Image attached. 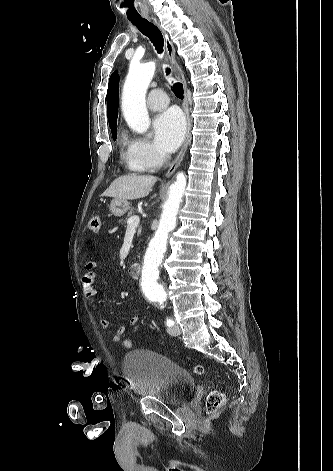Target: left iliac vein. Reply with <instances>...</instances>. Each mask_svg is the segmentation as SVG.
<instances>
[{"mask_svg":"<svg viewBox=\"0 0 333 471\" xmlns=\"http://www.w3.org/2000/svg\"><path fill=\"white\" fill-rule=\"evenodd\" d=\"M167 331L172 336H178L181 333V329L178 324H174L173 326L169 327Z\"/></svg>","mask_w":333,"mask_h":471,"instance_id":"4c4485c4","label":"left iliac vein"}]
</instances>
